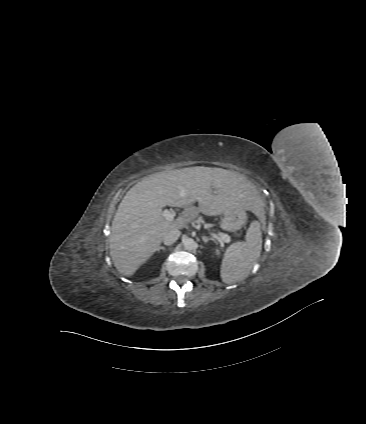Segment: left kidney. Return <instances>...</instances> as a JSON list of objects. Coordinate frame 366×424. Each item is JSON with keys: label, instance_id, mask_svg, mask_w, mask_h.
I'll use <instances>...</instances> for the list:
<instances>
[{"label": "left kidney", "instance_id": "left-kidney-1", "mask_svg": "<svg viewBox=\"0 0 366 424\" xmlns=\"http://www.w3.org/2000/svg\"><path fill=\"white\" fill-rule=\"evenodd\" d=\"M216 253H217V254H219V253H220L218 249L216 250Z\"/></svg>", "mask_w": 366, "mask_h": 424}]
</instances>
